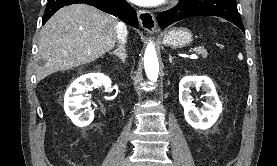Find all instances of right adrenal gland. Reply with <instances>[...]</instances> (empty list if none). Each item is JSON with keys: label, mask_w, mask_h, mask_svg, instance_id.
I'll return each mask as SVG.
<instances>
[{"label": "right adrenal gland", "mask_w": 277, "mask_h": 166, "mask_svg": "<svg viewBox=\"0 0 277 166\" xmlns=\"http://www.w3.org/2000/svg\"><path fill=\"white\" fill-rule=\"evenodd\" d=\"M109 54L117 56L121 60V62L125 63L126 54L122 45L117 46V48L114 51L109 52Z\"/></svg>", "instance_id": "2a0ac1e0"}]
</instances>
